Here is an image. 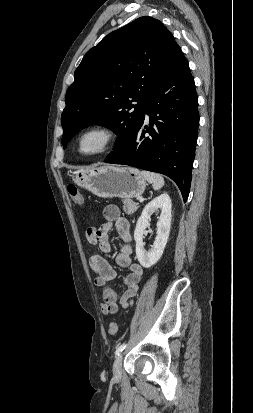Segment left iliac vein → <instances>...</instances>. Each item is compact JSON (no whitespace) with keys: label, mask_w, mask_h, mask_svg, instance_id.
Here are the masks:
<instances>
[{"label":"left iliac vein","mask_w":253,"mask_h":413,"mask_svg":"<svg viewBox=\"0 0 253 413\" xmlns=\"http://www.w3.org/2000/svg\"><path fill=\"white\" fill-rule=\"evenodd\" d=\"M122 360L123 355L119 354L113 363V375L116 379H119L121 377Z\"/></svg>","instance_id":"4c4485c4"}]
</instances>
